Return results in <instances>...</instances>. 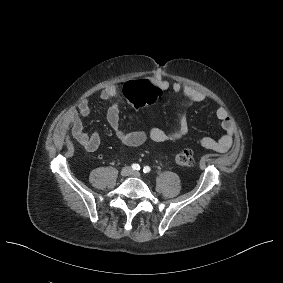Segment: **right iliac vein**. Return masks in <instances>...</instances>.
<instances>
[{
	"mask_svg": "<svg viewBox=\"0 0 283 283\" xmlns=\"http://www.w3.org/2000/svg\"><path fill=\"white\" fill-rule=\"evenodd\" d=\"M131 172H132L131 168L128 166H125L121 169V176L127 177L131 174Z\"/></svg>",
	"mask_w": 283,
	"mask_h": 283,
	"instance_id": "obj_1",
	"label": "right iliac vein"
}]
</instances>
